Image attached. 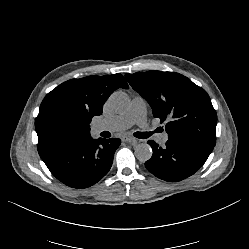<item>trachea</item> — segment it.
I'll return each mask as SVG.
<instances>
[{
    "instance_id": "1",
    "label": "trachea",
    "mask_w": 249,
    "mask_h": 249,
    "mask_svg": "<svg viewBox=\"0 0 249 249\" xmlns=\"http://www.w3.org/2000/svg\"><path fill=\"white\" fill-rule=\"evenodd\" d=\"M152 135V132H135L134 136L140 139H146Z\"/></svg>"
}]
</instances>
